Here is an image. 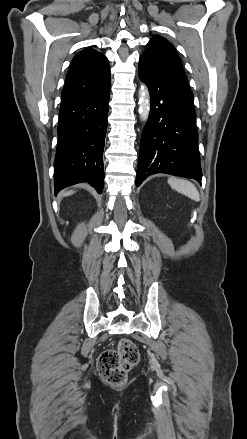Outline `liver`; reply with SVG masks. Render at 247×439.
<instances>
[{"label": "liver", "mask_w": 247, "mask_h": 439, "mask_svg": "<svg viewBox=\"0 0 247 439\" xmlns=\"http://www.w3.org/2000/svg\"><path fill=\"white\" fill-rule=\"evenodd\" d=\"M73 193H74L73 191H68V192L63 193L62 196H68V195H71Z\"/></svg>", "instance_id": "liver-1"}]
</instances>
